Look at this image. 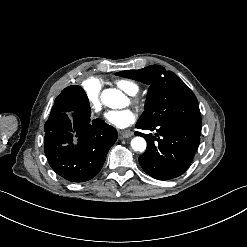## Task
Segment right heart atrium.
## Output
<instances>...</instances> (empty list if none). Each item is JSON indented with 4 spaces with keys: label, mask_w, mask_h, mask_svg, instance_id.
Instances as JSON below:
<instances>
[{
    "label": "right heart atrium",
    "mask_w": 247,
    "mask_h": 247,
    "mask_svg": "<svg viewBox=\"0 0 247 247\" xmlns=\"http://www.w3.org/2000/svg\"><path fill=\"white\" fill-rule=\"evenodd\" d=\"M83 90L90 104V111L93 114H100L103 111L102 101L104 100L105 87L98 78L87 77L84 80Z\"/></svg>",
    "instance_id": "d8ad5b80"
}]
</instances>
